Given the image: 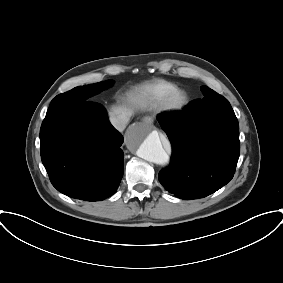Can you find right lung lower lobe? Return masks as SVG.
I'll use <instances>...</instances> for the list:
<instances>
[{"mask_svg":"<svg viewBox=\"0 0 283 283\" xmlns=\"http://www.w3.org/2000/svg\"><path fill=\"white\" fill-rule=\"evenodd\" d=\"M40 142L42 163L59 192L86 201L116 192L123 176V137L100 104L55 103L42 122Z\"/></svg>","mask_w":283,"mask_h":283,"instance_id":"obj_1","label":"right lung lower lobe"}]
</instances>
